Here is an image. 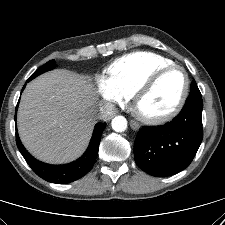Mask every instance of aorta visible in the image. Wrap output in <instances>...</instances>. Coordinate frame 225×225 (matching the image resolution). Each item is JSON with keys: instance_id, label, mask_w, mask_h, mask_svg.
I'll use <instances>...</instances> for the list:
<instances>
[{"instance_id": "762f6f07", "label": "aorta", "mask_w": 225, "mask_h": 225, "mask_svg": "<svg viewBox=\"0 0 225 225\" xmlns=\"http://www.w3.org/2000/svg\"><path fill=\"white\" fill-rule=\"evenodd\" d=\"M111 126L115 132H124L127 129V120L124 116H116L112 119Z\"/></svg>"}]
</instances>
